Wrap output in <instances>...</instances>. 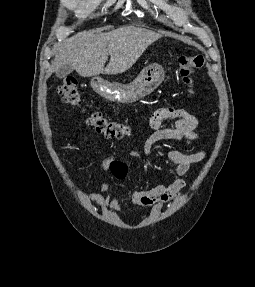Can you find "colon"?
Returning a JSON list of instances; mask_svg holds the SVG:
<instances>
[{"mask_svg": "<svg viewBox=\"0 0 255 287\" xmlns=\"http://www.w3.org/2000/svg\"><path fill=\"white\" fill-rule=\"evenodd\" d=\"M178 71L183 83L188 88L189 93L194 91V72L204 64V59L199 55H180L178 57ZM58 94L63 102L72 106L81 104V95L77 87V82L73 78H67L58 87ZM87 123L98 133L108 138H122L131 132L130 127L119 122L111 121L100 112L92 113L87 119Z\"/></svg>", "mask_w": 255, "mask_h": 287, "instance_id": "obj_1", "label": "colon"}]
</instances>
